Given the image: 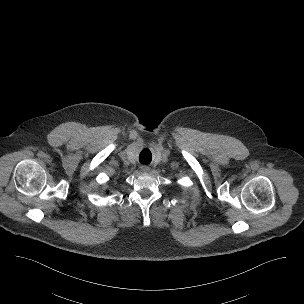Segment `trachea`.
<instances>
[{
    "instance_id": "trachea-1",
    "label": "trachea",
    "mask_w": 304,
    "mask_h": 304,
    "mask_svg": "<svg viewBox=\"0 0 304 304\" xmlns=\"http://www.w3.org/2000/svg\"><path fill=\"white\" fill-rule=\"evenodd\" d=\"M152 160V154L149 149H142L140 151L139 161L142 164H149Z\"/></svg>"
}]
</instances>
